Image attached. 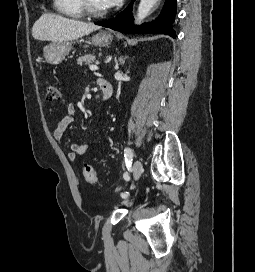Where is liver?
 <instances>
[{
  "instance_id": "liver-1",
  "label": "liver",
  "mask_w": 255,
  "mask_h": 272,
  "mask_svg": "<svg viewBox=\"0 0 255 272\" xmlns=\"http://www.w3.org/2000/svg\"><path fill=\"white\" fill-rule=\"evenodd\" d=\"M100 29L93 23L69 19L53 13L43 14L32 27V36L41 41L64 42Z\"/></svg>"
}]
</instances>
